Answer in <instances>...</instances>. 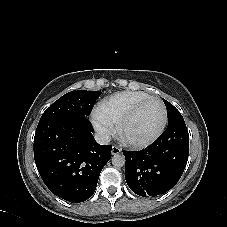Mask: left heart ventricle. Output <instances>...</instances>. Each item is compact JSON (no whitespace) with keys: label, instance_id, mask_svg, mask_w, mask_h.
I'll return each instance as SVG.
<instances>
[{"label":"left heart ventricle","instance_id":"b2bd125f","mask_svg":"<svg viewBox=\"0 0 227 227\" xmlns=\"http://www.w3.org/2000/svg\"><path fill=\"white\" fill-rule=\"evenodd\" d=\"M163 109L159 102L146 103L135 118L124 129L125 138L133 141H143L150 138L161 125Z\"/></svg>","mask_w":227,"mask_h":227}]
</instances>
